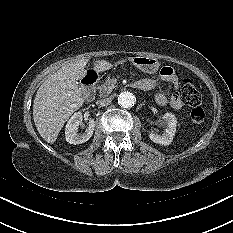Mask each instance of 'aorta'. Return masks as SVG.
Masks as SVG:
<instances>
[{
    "mask_svg": "<svg viewBox=\"0 0 233 233\" xmlns=\"http://www.w3.org/2000/svg\"><path fill=\"white\" fill-rule=\"evenodd\" d=\"M135 103L136 97L130 91L121 92L118 96V104L123 108H131Z\"/></svg>",
    "mask_w": 233,
    "mask_h": 233,
    "instance_id": "762f6f07",
    "label": "aorta"
}]
</instances>
